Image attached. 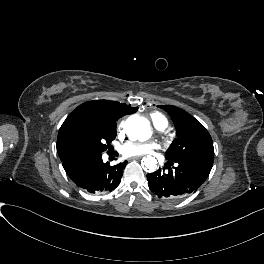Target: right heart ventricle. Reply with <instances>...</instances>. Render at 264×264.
Segmentation results:
<instances>
[{"label": "right heart ventricle", "mask_w": 264, "mask_h": 264, "mask_svg": "<svg viewBox=\"0 0 264 264\" xmlns=\"http://www.w3.org/2000/svg\"><path fill=\"white\" fill-rule=\"evenodd\" d=\"M154 120H155L156 122L163 121V119H162L159 115H156V116L154 117Z\"/></svg>", "instance_id": "1"}]
</instances>
